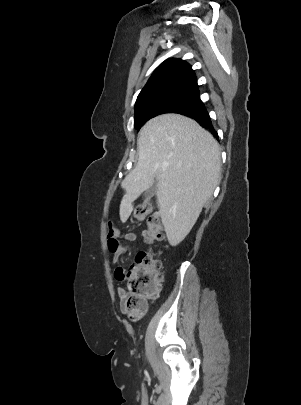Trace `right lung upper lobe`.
Here are the masks:
<instances>
[{"mask_svg":"<svg viewBox=\"0 0 301 405\" xmlns=\"http://www.w3.org/2000/svg\"><path fill=\"white\" fill-rule=\"evenodd\" d=\"M173 89L199 91L197 79L191 66L183 60L174 58L164 61L154 71L138 95L136 104L148 96Z\"/></svg>","mask_w":301,"mask_h":405,"instance_id":"right-lung-upper-lobe-1","label":"right lung upper lobe"}]
</instances>
